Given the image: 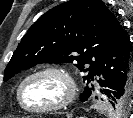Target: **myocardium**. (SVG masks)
<instances>
[{"instance_id": "1", "label": "myocardium", "mask_w": 133, "mask_h": 118, "mask_svg": "<svg viewBox=\"0 0 133 118\" xmlns=\"http://www.w3.org/2000/svg\"><path fill=\"white\" fill-rule=\"evenodd\" d=\"M45 74L55 75L64 82L65 90H66L64 97L60 101L48 106H43L38 108L27 107L24 104L23 98H22V92H23L24 86L30 79L36 76L45 75ZM76 94H77V84L75 82L73 75L69 70L58 65H47V66H43L32 70L31 72H29L23 77V79L20 81L19 86L17 88V100L21 108L26 112L36 113V114L50 113V112L63 109L69 106L74 101Z\"/></svg>"}]
</instances>
